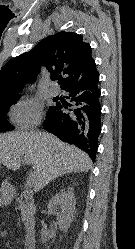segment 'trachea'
<instances>
[{"mask_svg": "<svg viewBox=\"0 0 135 249\" xmlns=\"http://www.w3.org/2000/svg\"><path fill=\"white\" fill-rule=\"evenodd\" d=\"M63 81H59V84H62Z\"/></svg>", "mask_w": 135, "mask_h": 249, "instance_id": "obj_1", "label": "trachea"}]
</instances>
